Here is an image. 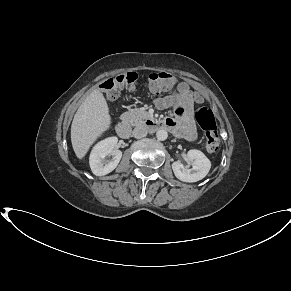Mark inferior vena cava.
Masks as SVG:
<instances>
[{
    "label": "inferior vena cava",
    "instance_id": "602c4592",
    "mask_svg": "<svg viewBox=\"0 0 291 291\" xmlns=\"http://www.w3.org/2000/svg\"><path fill=\"white\" fill-rule=\"evenodd\" d=\"M148 134V130L144 125H139L133 130V136L135 138H142Z\"/></svg>",
    "mask_w": 291,
    "mask_h": 291
}]
</instances>
